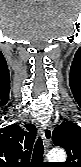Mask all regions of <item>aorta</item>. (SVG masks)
Listing matches in <instances>:
<instances>
[{
	"label": "aorta",
	"mask_w": 81,
	"mask_h": 167,
	"mask_svg": "<svg viewBox=\"0 0 81 167\" xmlns=\"http://www.w3.org/2000/svg\"><path fill=\"white\" fill-rule=\"evenodd\" d=\"M66 153L63 149L54 148L50 150L47 158L50 162H64L66 160Z\"/></svg>",
	"instance_id": "762f6f07"
}]
</instances>
